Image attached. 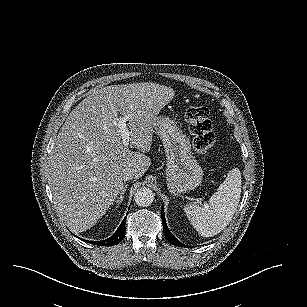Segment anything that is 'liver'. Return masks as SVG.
<instances>
[{
  "instance_id": "1",
  "label": "liver",
  "mask_w": 307,
  "mask_h": 307,
  "mask_svg": "<svg viewBox=\"0 0 307 307\" xmlns=\"http://www.w3.org/2000/svg\"><path fill=\"white\" fill-rule=\"evenodd\" d=\"M172 88L150 82L94 90L69 114L50 156L48 183L58 216L73 233L92 228L124 188L123 177L141 178L151 165L149 152L158 114L173 98ZM128 116L130 145L113 123Z\"/></svg>"
}]
</instances>
